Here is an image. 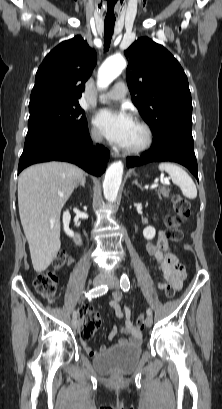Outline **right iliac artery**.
Returning <instances> with one entry per match:
<instances>
[{
    "mask_svg": "<svg viewBox=\"0 0 222 409\" xmlns=\"http://www.w3.org/2000/svg\"><path fill=\"white\" fill-rule=\"evenodd\" d=\"M108 291V286L107 285H101L96 288L91 289L89 292L85 293V296L91 300L92 298H97L99 296L104 295ZM73 318H77V312H73Z\"/></svg>",
    "mask_w": 222,
    "mask_h": 409,
    "instance_id": "1",
    "label": "right iliac artery"
}]
</instances>
